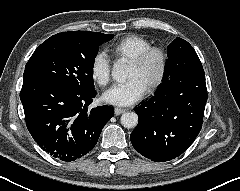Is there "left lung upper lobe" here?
<instances>
[{"label":"left lung upper lobe","mask_w":240,"mask_h":191,"mask_svg":"<svg viewBox=\"0 0 240 191\" xmlns=\"http://www.w3.org/2000/svg\"><path fill=\"white\" fill-rule=\"evenodd\" d=\"M167 55L168 59L164 67L162 82L158 88H161L184 71L193 68L203 69L195 50L182 38H176L169 44Z\"/></svg>","instance_id":"obj_1"}]
</instances>
